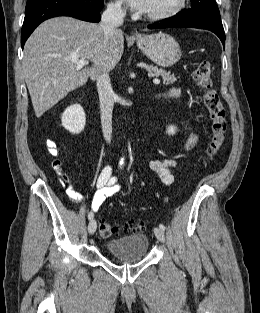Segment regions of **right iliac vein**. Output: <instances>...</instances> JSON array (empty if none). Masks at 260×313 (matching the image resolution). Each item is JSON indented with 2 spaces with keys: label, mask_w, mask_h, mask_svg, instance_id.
<instances>
[{
  "label": "right iliac vein",
  "mask_w": 260,
  "mask_h": 313,
  "mask_svg": "<svg viewBox=\"0 0 260 313\" xmlns=\"http://www.w3.org/2000/svg\"><path fill=\"white\" fill-rule=\"evenodd\" d=\"M97 228V223L94 219L89 222L88 231L90 234H94Z\"/></svg>",
  "instance_id": "1"
}]
</instances>
